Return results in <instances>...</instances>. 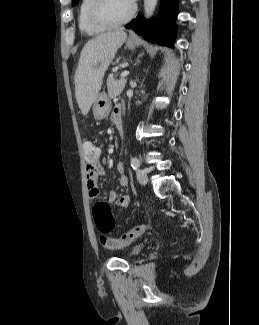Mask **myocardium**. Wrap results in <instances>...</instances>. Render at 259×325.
<instances>
[{"label":"myocardium","mask_w":259,"mask_h":325,"mask_svg":"<svg viewBox=\"0 0 259 325\" xmlns=\"http://www.w3.org/2000/svg\"><path fill=\"white\" fill-rule=\"evenodd\" d=\"M108 0H92L89 8L90 21L99 27L113 28L127 23L136 12V6L132 4L130 11L122 18L111 17L107 12Z\"/></svg>","instance_id":"myocardium-1"}]
</instances>
